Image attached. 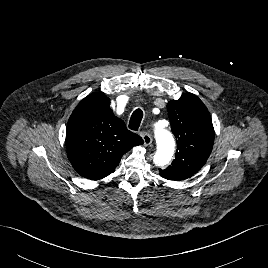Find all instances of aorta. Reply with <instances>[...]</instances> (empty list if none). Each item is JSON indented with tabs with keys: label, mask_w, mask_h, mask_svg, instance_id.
Instances as JSON below:
<instances>
[{
	"label": "aorta",
	"mask_w": 268,
	"mask_h": 268,
	"mask_svg": "<svg viewBox=\"0 0 268 268\" xmlns=\"http://www.w3.org/2000/svg\"><path fill=\"white\" fill-rule=\"evenodd\" d=\"M155 138L157 142V151L153 157V162L156 166L163 167L172 159L175 142L172 134L159 125H157L155 129Z\"/></svg>",
	"instance_id": "aorta-1"
}]
</instances>
